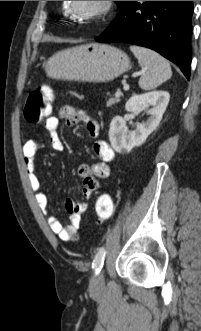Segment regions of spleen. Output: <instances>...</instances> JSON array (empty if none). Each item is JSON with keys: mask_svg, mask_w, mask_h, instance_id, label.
<instances>
[{"mask_svg": "<svg viewBox=\"0 0 201 331\" xmlns=\"http://www.w3.org/2000/svg\"><path fill=\"white\" fill-rule=\"evenodd\" d=\"M130 50L138 59L142 68L139 86L143 90H152L167 81L172 76L170 63L157 52L137 45H131Z\"/></svg>", "mask_w": 201, "mask_h": 331, "instance_id": "1", "label": "spleen"}]
</instances>
